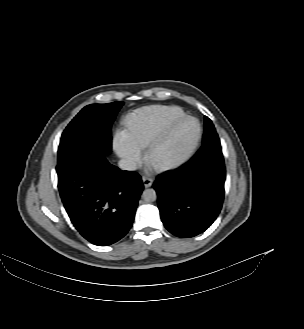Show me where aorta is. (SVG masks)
Returning <instances> with one entry per match:
<instances>
[{
    "mask_svg": "<svg viewBox=\"0 0 304 329\" xmlns=\"http://www.w3.org/2000/svg\"><path fill=\"white\" fill-rule=\"evenodd\" d=\"M142 195L143 199L148 203L154 202L157 198V194L154 189H145Z\"/></svg>",
    "mask_w": 304,
    "mask_h": 329,
    "instance_id": "762f6f07",
    "label": "aorta"
}]
</instances>
